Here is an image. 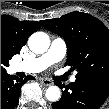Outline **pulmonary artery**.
<instances>
[{
	"instance_id": "1",
	"label": "pulmonary artery",
	"mask_w": 109,
	"mask_h": 109,
	"mask_svg": "<svg viewBox=\"0 0 109 109\" xmlns=\"http://www.w3.org/2000/svg\"><path fill=\"white\" fill-rule=\"evenodd\" d=\"M67 52V47L63 39L55 38L49 50L44 54L35 58L14 63L12 69L14 72L39 73L50 65L59 62L64 58ZM76 77L72 76L70 82H75Z\"/></svg>"
}]
</instances>
